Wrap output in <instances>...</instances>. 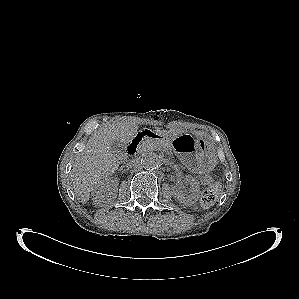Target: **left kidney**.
I'll list each match as a JSON object with an SVG mask.
<instances>
[{
	"label": "left kidney",
	"mask_w": 299,
	"mask_h": 299,
	"mask_svg": "<svg viewBox=\"0 0 299 299\" xmlns=\"http://www.w3.org/2000/svg\"><path fill=\"white\" fill-rule=\"evenodd\" d=\"M185 182L190 185L192 193L190 195H186L185 193L182 192V190L178 188H173V194L174 197L180 203L186 206H190L195 204L198 201V198L200 196V186H199V182L191 175H187L185 177Z\"/></svg>",
	"instance_id": "left-kidney-1"
}]
</instances>
